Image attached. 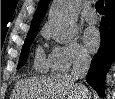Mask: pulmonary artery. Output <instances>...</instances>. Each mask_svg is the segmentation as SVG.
I'll return each mask as SVG.
<instances>
[{
	"instance_id": "1",
	"label": "pulmonary artery",
	"mask_w": 115,
	"mask_h": 99,
	"mask_svg": "<svg viewBox=\"0 0 115 99\" xmlns=\"http://www.w3.org/2000/svg\"><path fill=\"white\" fill-rule=\"evenodd\" d=\"M84 16H85L86 21L89 23H95L98 19L96 12L93 9L88 10Z\"/></svg>"
}]
</instances>
